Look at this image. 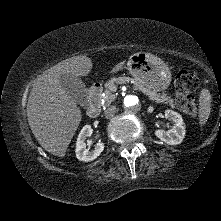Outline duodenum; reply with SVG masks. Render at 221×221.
Masks as SVG:
<instances>
[{
    "mask_svg": "<svg viewBox=\"0 0 221 221\" xmlns=\"http://www.w3.org/2000/svg\"><path fill=\"white\" fill-rule=\"evenodd\" d=\"M102 91L103 86L101 83H95L89 89V107L87 109V115L90 118H96L100 113V99Z\"/></svg>",
    "mask_w": 221,
    "mask_h": 221,
    "instance_id": "obj_1",
    "label": "duodenum"
}]
</instances>
